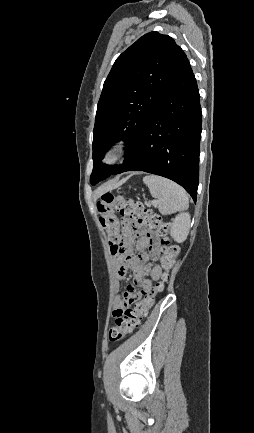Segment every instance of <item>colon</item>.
<instances>
[{
    "mask_svg": "<svg viewBox=\"0 0 254 433\" xmlns=\"http://www.w3.org/2000/svg\"><path fill=\"white\" fill-rule=\"evenodd\" d=\"M97 209L102 227L106 231L107 239L113 256H124L127 250L128 233L132 230L146 228L154 229L162 239L160 262L163 270L169 272L175 264L179 249L167 237L169 224L163 223L161 217L146 208L141 202L104 193L97 201ZM119 213L121 219L117 218ZM162 290V283L158 284L153 293L142 300L132 296L127 297L124 305L113 312L114 321L109 330V339L117 342L131 334L147 315L153 305L155 296ZM135 303L132 308L131 305Z\"/></svg>",
    "mask_w": 254,
    "mask_h": 433,
    "instance_id": "obj_1",
    "label": "colon"
}]
</instances>
